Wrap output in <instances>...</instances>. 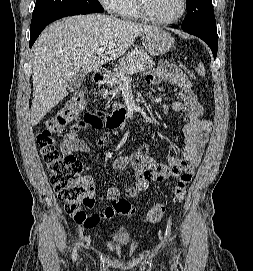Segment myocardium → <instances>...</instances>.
<instances>
[{"mask_svg": "<svg viewBox=\"0 0 253 271\" xmlns=\"http://www.w3.org/2000/svg\"><path fill=\"white\" fill-rule=\"evenodd\" d=\"M136 1H137L138 9L140 11L141 16L147 21H150L152 23L159 24V25H172V24L177 23L186 14L187 6H188L187 0H181L180 12L175 17L170 18V19H159L150 13L147 0H136Z\"/></svg>", "mask_w": 253, "mask_h": 271, "instance_id": "1", "label": "myocardium"}]
</instances>
